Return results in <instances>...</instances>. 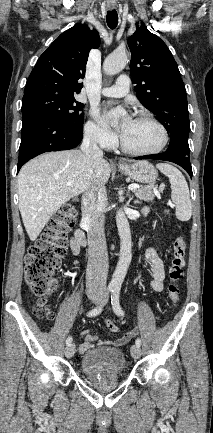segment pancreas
<instances>
[{
	"label": "pancreas",
	"instance_id": "cf45deb5",
	"mask_svg": "<svg viewBox=\"0 0 213 433\" xmlns=\"http://www.w3.org/2000/svg\"><path fill=\"white\" fill-rule=\"evenodd\" d=\"M153 188V184L148 186H141L138 189L134 190V193L140 200H143L145 202H152L155 197V192Z\"/></svg>",
	"mask_w": 213,
	"mask_h": 433
}]
</instances>
